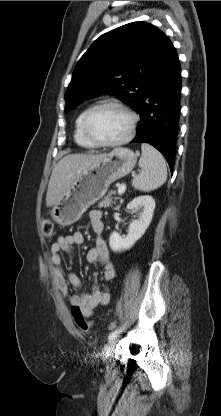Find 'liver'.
Here are the masks:
<instances>
[{
  "instance_id": "6515ba94",
  "label": "liver",
  "mask_w": 221,
  "mask_h": 416,
  "mask_svg": "<svg viewBox=\"0 0 221 416\" xmlns=\"http://www.w3.org/2000/svg\"><path fill=\"white\" fill-rule=\"evenodd\" d=\"M106 154H69L64 156L54 167L46 195V205L51 207L58 203L74 180L82 171L101 160Z\"/></svg>"
}]
</instances>
